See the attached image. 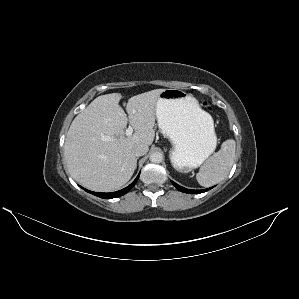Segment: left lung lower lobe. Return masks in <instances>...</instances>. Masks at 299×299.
<instances>
[{
    "mask_svg": "<svg viewBox=\"0 0 299 299\" xmlns=\"http://www.w3.org/2000/svg\"><path fill=\"white\" fill-rule=\"evenodd\" d=\"M172 183H173V185H174L177 189H179L181 192H184V193H190V194H199V193H203V192L208 191L209 189H211V188H208V189H205V190H190V189H186V188H184V187L179 186L178 184H176V183L173 182V181H172Z\"/></svg>",
    "mask_w": 299,
    "mask_h": 299,
    "instance_id": "1",
    "label": "left lung lower lobe"
}]
</instances>
